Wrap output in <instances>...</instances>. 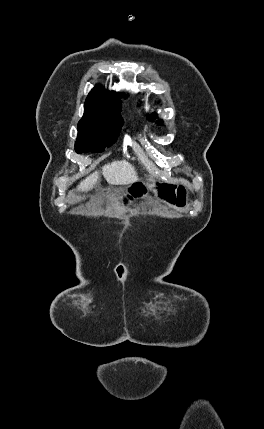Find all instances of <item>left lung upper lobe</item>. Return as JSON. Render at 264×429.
Masks as SVG:
<instances>
[{"instance_id": "5c2ea615", "label": "left lung upper lobe", "mask_w": 264, "mask_h": 429, "mask_svg": "<svg viewBox=\"0 0 264 429\" xmlns=\"http://www.w3.org/2000/svg\"><path fill=\"white\" fill-rule=\"evenodd\" d=\"M155 117H156V115L151 114V115L148 117V119L153 120ZM158 123L160 124V122H158Z\"/></svg>"}]
</instances>
